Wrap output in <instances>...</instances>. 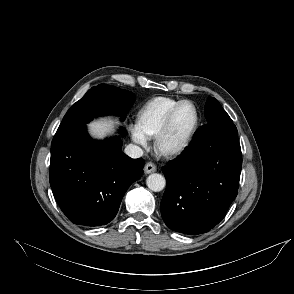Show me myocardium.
<instances>
[{
    "instance_id": "obj_1",
    "label": "myocardium",
    "mask_w": 294,
    "mask_h": 294,
    "mask_svg": "<svg viewBox=\"0 0 294 294\" xmlns=\"http://www.w3.org/2000/svg\"><path fill=\"white\" fill-rule=\"evenodd\" d=\"M185 104H190L195 109V113H196L195 123H194L190 133L188 134L187 138L183 141V143H181L180 145L173 147V148H165L163 146L164 139L172 126V123L174 121V118H175L177 112ZM200 122H201L200 110H199L198 106L196 105V103L191 100H181L168 113L164 122L162 123L161 127L159 128L158 132L156 133V135L154 137V148H155V151L157 152V154L161 157H164V158H175V157H178L181 154H183L191 145V143H192V141H193V139L199 129Z\"/></svg>"
}]
</instances>
